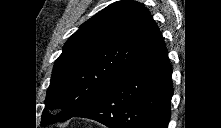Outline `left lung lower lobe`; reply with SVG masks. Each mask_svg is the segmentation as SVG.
Here are the masks:
<instances>
[{
  "label": "left lung lower lobe",
  "mask_w": 221,
  "mask_h": 128,
  "mask_svg": "<svg viewBox=\"0 0 221 128\" xmlns=\"http://www.w3.org/2000/svg\"><path fill=\"white\" fill-rule=\"evenodd\" d=\"M172 68L163 37L107 93L74 117L110 128H167Z\"/></svg>",
  "instance_id": "1"
}]
</instances>
